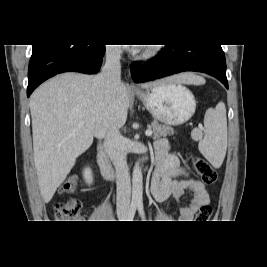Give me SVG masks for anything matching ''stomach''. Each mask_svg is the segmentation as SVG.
Returning <instances> with one entry per match:
<instances>
[{
    "instance_id": "0dacf381",
    "label": "stomach",
    "mask_w": 267,
    "mask_h": 267,
    "mask_svg": "<svg viewBox=\"0 0 267 267\" xmlns=\"http://www.w3.org/2000/svg\"><path fill=\"white\" fill-rule=\"evenodd\" d=\"M137 95L152 116L166 125L183 124L195 113V97L180 83H158Z\"/></svg>"
}]
</instances>
